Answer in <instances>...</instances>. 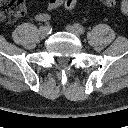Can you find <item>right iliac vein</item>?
Segmentation results:
<instances>
[{"label":"right iliac vein","mask_w":128,"mask_h":128,"mask_svg":"<svg viewBox=\"0 0 128 128\" xmlns=\"http://www.w3.org/2000/svg\"><path fill=\"white\" fill-rule=\"evenodd\" d=\"M40 33L42 36L47 37L50 33V29L48 27H42L40 28Z\"/></svg>","instance_id":"63e3f726"}]
</instances>
